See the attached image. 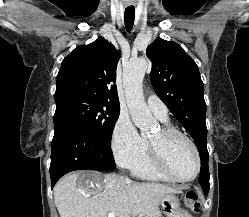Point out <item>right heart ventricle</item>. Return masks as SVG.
Wrapping results in <instances>:
<instances>
[{
    "mask_svg": "<svg viewBox=\"0 0 249 217\" xmlns=\"http://www.w3.org/2000/svg\"><path fill=\"white\" fill-rule=\"evenodd\" d=\"M135 176L152 181L170 182L162 173H160L153 165L148 146L140 156V158L131 166Z\"/></svg>",
    "mask_w": 249,
    "mask_h": 217,
    "instance_id": "obj_1",
    "label": "right heart ventricle"
}]
</instances>
